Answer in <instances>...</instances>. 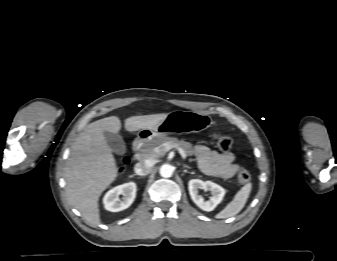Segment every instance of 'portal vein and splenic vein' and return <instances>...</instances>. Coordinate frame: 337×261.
<instances>
[{
	"instance_id": "1",
	"label": "portal vein and splenic vein",
	"mask_w": 337,
	"mask_h": 261,
	"mask_svg": "<svg viewBox=\"0 0 337 261\" xmlns=\"http://www.w3.org/2000/svg\"><path fill=\"white\" fill-rule=\"evenodd\" d=\"M162 147V150L164 152H168L171 148L173 147H176L178 152L180 153V155L182 156L183 159H186V154H185V151L181 148V147H178V146H175V145H172L170 143H164L163 145H161ZM156 151L158 150V148L155 149Z\"/></svg>"
}]
</instances>
